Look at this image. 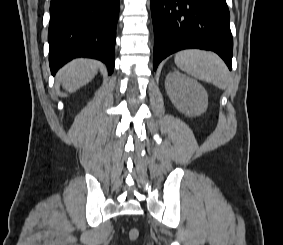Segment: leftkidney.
Instances as JSON below:
<instances>
[{
	"label": "left kidney",
	"mask_w": 283,
	"mask_h": 245,
	"mask_svg": "<svg viewBox=\"0 0 283 245\" xmlns=\"http://www.w3.org/2000/svg\"><path fill=\"white\" fill-rule=\"evenodd\" d=\"M165 88L174 106L185 115L199 116L207 110V92L194 79L174 71L167 75Z\"/></svg>",
	"instance_id": "obj_1"
}]
</instances>
